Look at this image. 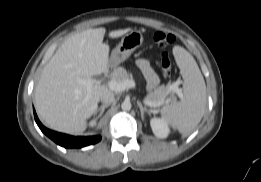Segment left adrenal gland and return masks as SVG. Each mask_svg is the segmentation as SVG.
Here are the masks:
<instances>
[{
    "label": "left adrenal gland",
    "mask_w": 261,
    "mask_h": 182,
    "mask_svg": "<svg viewBox=\"0 0 261 182\" xmlns=\"http://www.w3.org/2000/svg\"><path fill=\"white\" fill-rule=\"evenodd\" d=\"M138 106L140 108L142 117H143L144 112H147L148 114L150 113V110L146 106H143L141 104V102H138Z\"/></svg>",
    "instance_id": "a2214340"
}]
</instances>
